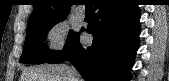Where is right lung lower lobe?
Returning <instances> with one entry per match:
<instances>
[{"instance_id": "1", "label": "right lung lower lobe", "mask_w": 169, "mask_h": 81, "mask_svg": "<svg viewBox=\"0 0 169 81\" xmlns=\"http://www.w3.org/2000/svg\"><path fill=\"white\" fill-rule=\"evenodd\" d=\"M90 47L79 43V35L65 44L47 63L70 61L86 81H129L140 33L138 6L129 0H96Z\"/></svg>"}]
</instances>
